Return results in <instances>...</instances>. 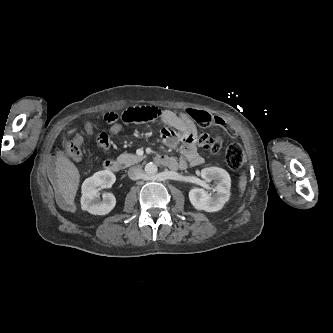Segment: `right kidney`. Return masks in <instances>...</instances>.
I'll return each instance as SVG.
<instances>
[{"mask_svg":"<svg viewBox=\"0 0 333 333\" xmlns=\"http://www.w3.org/2000/svg\"><path fill=\"white\" fill-rule=\"evenodd\" d=\"M115 175L109 170L96 172L82 184L81 207L94 215L108 214L116 204V198L111 193H104L99 199L100 189L109 188L115 182Z\"/></svg>","mask_w":333,"mask_h":333,"instance_id":"right-kidney-1","label":"right kidney"}]
</instances>
